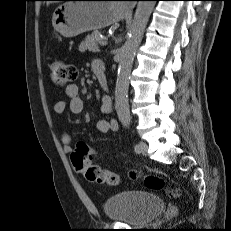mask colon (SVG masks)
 <instances>
[{"label": "colon", "instance_id": "obj_1", "mask_svg": "<svg viewBox=\"0 0 231 231\" xmlns=\"http://www.w3.org/2000/svg\"><path fill=\"white\" fill-rule=\"evenodd\" d=\"M76 77L77 70L74 66L60 60L51 63V79L56 86L67 87ZM95 156L96 152L94 150L86 143L79 142L71 155V160L75 168L82 171L88 181L112 186L118 185L120 183L119 175L93 164L92 160ZM144 182L147 188L154 191L161 190L165 186L164 181L153 174L146 175ZM169 193L176 195L177 191L169 190Z\"/></svg>", "mask_w": 231, "mask_h": 231}]
</instances>
